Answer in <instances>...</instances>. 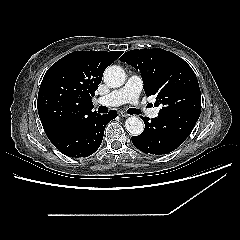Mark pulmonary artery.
Instances as JSON below:
<instances>
[{
    "instance_id": "1",
    "label": "pulmonary artery",
    "mask_w": 240,
    "mask_h": 240,
    "mask_svg": "<svg viewBox=\"0 0 240 240\" xmlns=\"http://www.w3.org/2000/svg\"><path fill=\"white\" fill-rule=\"evenodd\" d=\"M143 89L142 79L138 75H132L128 78L125 85L117 90L110 92L109 94L100 97L97 103L113 106L121 105L123 103H132L140 112L146 111V115L150 118H156L159 113L158 108L146 109V107L139 102V96Z\"/></svg>"
}]
</instances>
